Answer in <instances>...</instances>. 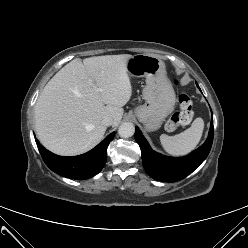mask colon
Returning a JSON list of instances; mask_svg holds the SVG:
<instances>
[{
	"label": "colon",
	"mask_w": 248,
	"mask_h": 248,
	"mask_svg": "<svg viewBox=\"0 0 248 248\" xmlns=\"http://www.w3.org/2000/svg\"><path fill=\"white\" fill-rule=\"evenodd\" d=\"M179 110L176 111L166 124L168 130H175L179 126L186 125L191 120L193 114V99L188 94H181L178 99Z\"/></svg>",
	"instance_id": "5ec220e1"
}]
</instances>
